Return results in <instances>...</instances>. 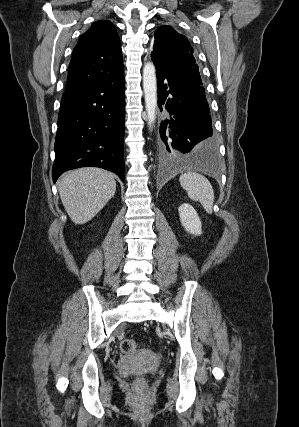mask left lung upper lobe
I'll use <instances>...</instances> for the list:
<instances>
[{
	"mask_svg": "<svg viewBox=\"0 0 299 427\" xmlns=\"http://www.w3.org/2000/svg\"><path fill=\"white\" fill-rule=\"evenodd\" d=\"M181 50H186L191 54L194 53V49L187 37L178 33L169 25H163L157 28L155 31V41L152 52L171 54ZM190 78L197 84L203 85L198 65L195 63L191 68Z\"/></svg>",
	"mask_w": 299,
	"mask_h": 427,
	"instance_id": "obj_1",
	"label": "left lung upper lobe"
}]
</instances>
